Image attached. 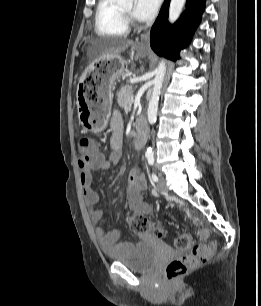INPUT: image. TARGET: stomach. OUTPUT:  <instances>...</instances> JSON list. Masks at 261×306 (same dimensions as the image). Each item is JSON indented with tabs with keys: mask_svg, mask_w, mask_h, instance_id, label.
Returning <instances> with one entry per match:
<instances>
[{
	"mask_svg": "<svg viewBox=\"0 0 261 306\" xmlns=\"http://www.w3.org/2000/svg\"><path fill=\"white\" fill-rule=\"evenodd\" d=\"M141 55H147L146 51L139 50ZM95 64L99 67L96 71L100 78L94 83H81L78 92V117L82 127L91 132H101L108 124L113 94L114 80L124 71L125 61L117 54L111 57L98 58ZM84 80V79H83Z\"/></svg>",
	"mask_w": 261,
	"mask_h": 306,
	"instance_id": "1",
	"label": "stomach"
}]
</instances>
